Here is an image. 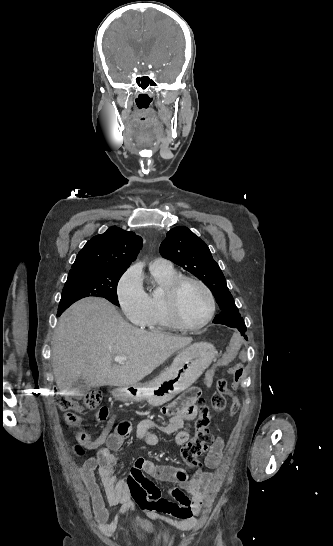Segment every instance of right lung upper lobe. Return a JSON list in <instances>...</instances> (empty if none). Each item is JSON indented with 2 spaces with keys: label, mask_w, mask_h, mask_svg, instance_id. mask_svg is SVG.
Masks as SVG:
<instances>
[{
  "label": "right lung upper lobe",
  "mask_w": 333,
  "mask_h": 546,
  "mask_svg": "<svg viewBox=\"0 0 333 546\" xmlns=\"http://www.w3.org/2000/svg\"><path fill=\"white\" fill-rule=\"evenodd\" d=\"M142 238L134 232L111 227L88 241L76 257L69 275L93 267L127 270L142 248Z\"/></svg>",
  "instance_id": "cb5924a9"
}]
</instances>
